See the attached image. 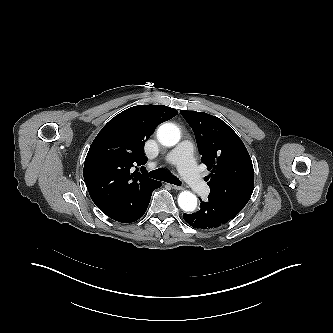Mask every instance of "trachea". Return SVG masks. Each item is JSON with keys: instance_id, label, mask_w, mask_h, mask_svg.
Instances as JSON below:
<instances>
[{"instance_id": "trachea-1", "label": "trachea", "mask_w": 333, "mask_h": 333, "mask_svg": "<svg viewBox=\"0 0 333 333\" xmlns=\"http://www.w3.org/2000/svg\"><path fill=\"white\" fill-rule=\"evenodd\" d=\"M142 173L157 180H161L178 186L181 185V181L165 168H158L149 173L144 169L142 170Z\"/></svg>"}]
</instances>
